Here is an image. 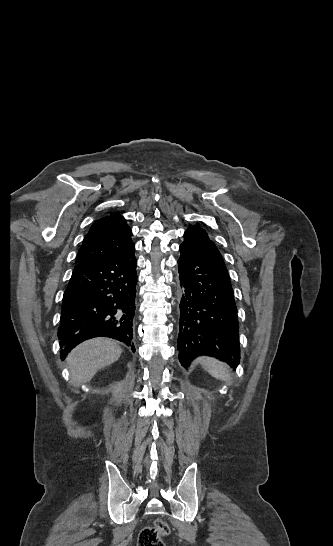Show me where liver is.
<instances>
[{"instance_id": "obj_1", "label": "liver", "mask_w": 333, "mask_h": 546, "mask_svg": "<svg viewBox=\"0 0 333 546\" xmlns=\"http://www.w3.org/2000/svg\"><path fill=\"white\" fill-rule=\"evenodd\" d=\"M122 353L113 340L96 338L74 348L67 357L70 383L74 387L89 382L97 371L116 362Z\"/></svg>"}]
</instances>
